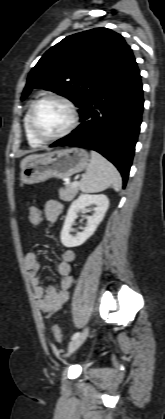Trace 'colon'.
<instances>
[{"label":"colon","instance_id":"1","mask_svg":"<svg viewBox=\"0 0 165 419\" xmlns=\"http://www.w3.org/2000/svg\"><path fill=\"white\" fill-rule=\"evenodd\" d=\"M40 220H41L40 210L37 207H31L29 210V221L31 225L37 226L40 223ZM52 332H53V336L55 340L61 343L63 340V336H62V332L59 326L57 325L53 326Z\"/></svg>","mask_w":165,"mask_h":419}]
</instances>
